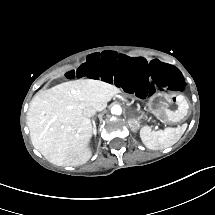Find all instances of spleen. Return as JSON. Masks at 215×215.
I'll return each instance as SVG.
<instances>
[{"label": "spleen", "instance_id": "3e777b00", "mask_svg": "<svg viewBox=\"0 0 215 215\" xmlns=\"http://www.w3.org/2000/svg\"><path fill=\"white\" fill-rule=\"evenodd\" d=\"M140 136L143 143L152 150L172 146L181 138L178 127H166L163 131H153L149 125L140 129Z\"/></svg>", "mask_w": 215, "mask_h": 215}]
</instances>
